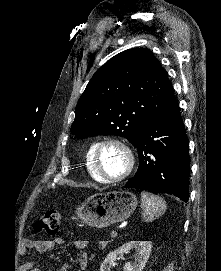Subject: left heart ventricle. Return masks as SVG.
I'll list each match as a JSON object with an SVG mask.
<instances>
[{"instance_id": "left-heart-ventricle-1", "label": "left heart ventricle", "mask_w": 221, "mask_h": 271, "mask_svg": "<svg viewBox=\"0 0 221 271\" xmlns=\"http://www.w3.org/2000/svg\"><path fill=\"white\" fill-rule=\"evenodd\" d=\"M102 158L100 163L103 164L102 169L105 175L110 177H121L122 169H126L124 161L121 160L122 156H125L123 152H120V147H101Z\"/></svg>"}]
</instances>
